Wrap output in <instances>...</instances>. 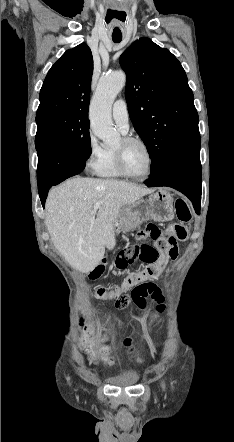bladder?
I'll return each instance as SVG.
<instances>
[{"instance_id": "31cf9c89", "label": "bladder", "mask_w": 234, "mask_h": 442, "mask_svg": "<svg viewBox=\"0 0 234 442\" xmlns=\"http://www.w3.org/2000/svg\"><path fill=\"white\" fill-rule=\"evenodd\" d=\"M139 377L140 375L137 370L130 369L117 377L109 379V381L118 386H132L138 382Z\"/></svg>"}]
</instances>
